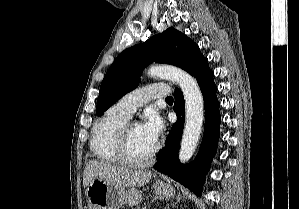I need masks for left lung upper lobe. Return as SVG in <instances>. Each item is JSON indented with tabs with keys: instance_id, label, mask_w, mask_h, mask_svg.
Returning <instances> with one entry per match:
<instances>
[{
	"instance_id": "left-lung-upper-lobe-1",
	"label": "left lung upper lobe",
	"mask_w": 299,
	"mask_h": 209,
	"mask_svg": "<svg viewBox=\"0 0 299 209\" xmlns=\"http://www.w3.org/2000/svg\"><path fill=\"white\" fill-rule=\"evenodd\" d=\"M205 60L196 43L178 30L168 28L118 55L101 83L96 113L101 115L135 89L140 73L153 61L175 65L193 75Z\"/></svg>"
}]
</instances>
